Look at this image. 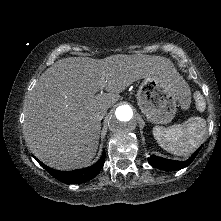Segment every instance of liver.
I'll return each mask as SVG.
<instances>
[{
    "mask_svg": "<svg viewBox=\"0 0 221 221\" xmlns=\"http://www.w3.org/2000/svg\"><path fill=\"white\" fill-rule=\"evenodd\" d=\"M174 72L169 59L143 54L59 59L40 76L25 101L27 146L54 169L88 166L99 144L97 113L112 107L133 82ZM103 88L106 92L97 94Z\"/></svg>",
    "mask_w": 221,
    "mask_h": 221,
    "instance_id": "obj_1",
    "label": "liver"
}]
</instances>
